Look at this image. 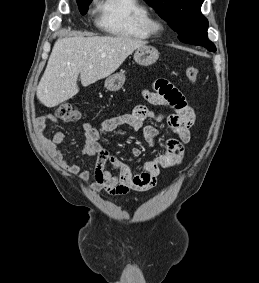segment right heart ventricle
<instances>
[{
  "label": "right heart ventricle",
  "instance_id": "e07e8e85",
  "mask_svg": "<svg viewBox=\"0 0 259 283\" xmlns=\"http://www.w3.org/2000/svg\"><path fill=\"white\" fill-rule=\"evenodd\" d=\"M100 26L121 38L149 39L150 12L141 0H104L100 6Z\"/></svg>",
  "mask_w": 259,
  "mask_h": 283
}]
</instances>
